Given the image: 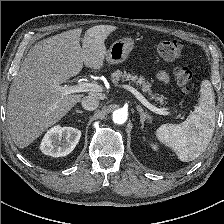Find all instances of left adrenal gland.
Instances as JSON below:
<instances>
[{"instance_id": "obj_1", "label": "left adrenal gland", "mask_w": 224, "mask_h": 224, "mask_svg": "<svg viewBox=\"0 0 224 224\" xmlns=\"http://www.w3.org/2000/svg\"><path fill=\"white\" fill-rule=\"evenodd\" d=\"M137 110L140 113L141 129H143L145 120L149 119L150 117L144 113V111L140 105H137Z\"/></svg>"}]
</instances>
